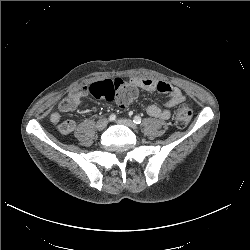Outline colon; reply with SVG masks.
I'll list each match as a JSON object with an SVG mask.
<instances>
[{
  "mask_svg": "<svg viewBox=\"0 0 250 250\" xmlns=\"http://www.w3.org/2000/svg\"><path fill=\"white\" fill-rule=\"evenodd\" d=\"M89 93L96 99L106 101L117 100L120 107H127L136 96L132 88L120 87L115 80H102L91 84L88 88ZM193 111L187 104L180 105L174 114V122L178 128L186 127L192 119Z\"/></svg>",
  "mask_w": 250,
  "mask_h": 250,
  "instance_id": "5ec220e1",
  "label": "colon"
}]
</instances>
